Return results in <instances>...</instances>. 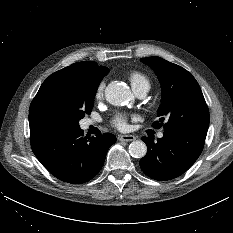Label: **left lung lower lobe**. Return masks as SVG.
<instances>
[{"label": "left lung lower lobe", "mask_w": 233, "mask_h": 233, "mask_svg": "<svg viewBox=\"0 0 233 233\" xmlns=\"http://www.w3.org/2000/svg\"><path fill=\"white\" fill-rule=\"evenodd\" d=\"M207 130L181 128L165 131L154 143L142 137L147 145V154L140 160L142 171L149 177L166 181L187 171L200 156Z\"/></svg>", "instance_id": "left-lung-lower-lobe-1"}]
</instances>
